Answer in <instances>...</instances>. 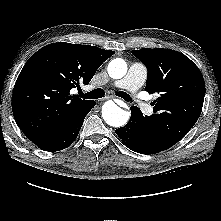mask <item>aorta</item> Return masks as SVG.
Wrapping results in <instances>:
<instances>
[{
	"label": "aorta",
	"mask_w": 221,
	"mask_h": 221,
	"mask_svg": "<svg viewBox=\"0 0 221 221\" xmlns=\"http://www.w3.org/2000/svg\"><path fill=\"white\" fill-rule=\"evenodd\" d=\"M107 71L111 78L120 79L127 73V64L121 58L113 59L110 61ZM102 117L108 125L122 127L128 122L130 114L110 100L102 107Z\"/></svg>",
	"instance_id": "aorta-1"
}]
</instances>
